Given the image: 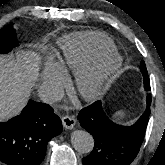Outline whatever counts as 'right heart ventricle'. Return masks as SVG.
<instances>
[{"label": "right heart ventricle", "mask_w": 165, "mask_h": 165, "mask_svg": "<svg viewBox=\"0 0 165 165\" xmlns=\"http://www.w3.org/2000/svg\"><path fill=\"white\" fill-rule=\"evenodd\" d=\"M57 66L62 70H79L99 54L116 50L114 42L98 31L77 32L58 42Z\"/></svg>", "instance_id": "1"}]
</instances>
